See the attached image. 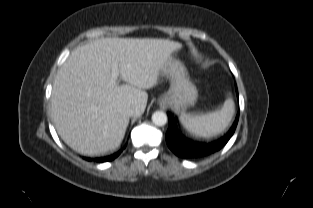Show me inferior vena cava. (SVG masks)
<instances>
[{
  "mask_svg": "<svg viewBox=\"0 0 313 208\" xmlns=\"http://www.w3.org/2000/svg\"><path fill=\"white\" fill-rule=\"evenodd\" d=\"M135 103L134 102H127L120 106V112L124 116L131 117L135 112Z\"/></svg>",
  "mask_w": 313,
  "mask_h": 208,
  "instance_id": "obj_1",
  "label": "inferior vena cava"
}]
</instances>
